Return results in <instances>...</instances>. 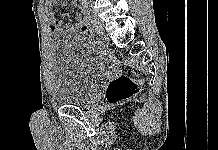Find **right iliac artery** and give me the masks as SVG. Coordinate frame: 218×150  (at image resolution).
Instances as JSON below:
<instances>
[{
	"mask_svg": "<svg viewBox=\"0 0 218 150\" xmlns=\"http://www.w3.org/2000/svg\"><path fill=\"white\" fill-rule=\"evenodd\" d=\"M82 13H83V15H81V14L79 15V18L81 19V21H82L83 23H85L86 25H88V26L94 28V23H93V21L91 20L90 17H88L87 15H85V13H84V8L82 9Z\"/></svg>",
	"mask_w": 218,
	"mask_h": 150,
	"instance_id": "right-iliac-artery-1",
	"label": "right iliac artery"
}]
</instances>
